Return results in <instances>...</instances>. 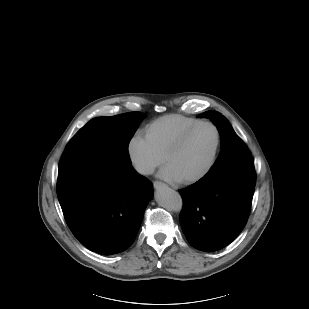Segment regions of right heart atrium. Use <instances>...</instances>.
<instances>
[{"instance_id": "right-heart-atrium-1", "label": "right heart atrium", "mask_w": 309, "mask_h": 309, "mask_svg": "<svg viewBox=\"0 0 309 309\" xmlns=\"http://www.w3.org/2000/svg\"><path fill=\"white\" fill-rule=\"evenodd\" d=\"M127 152L132 166L141 175L151 174L164 160V157L140 133L130 139Z\"/></svg>"}]
</instances>
